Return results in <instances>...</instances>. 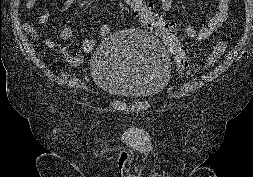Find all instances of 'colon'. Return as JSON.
I'll return each mask as SVG.
<instances>
[{
	"label": "colon",
	"instance_id": "1",
	"mask_svg": "<svg viewBox=\"0 0 253 177\" xmlns=\"http://www.w3.org/2000/svg\"><path fill=\"white\" fill-rule=\"evenodd\" d=\"M119 9L132 10L152 33H154L167 47L178 70L184 72H199L203 68L214 65L228 48V40H219L208 52L207 57L201 63L192 62L187 55V49L177 35V29L173 22L159 15L153 7V3L146 0H117Z\"/></svg>",
	"mask_w": 253,
	"mask_h": 177
}]
</instances>
